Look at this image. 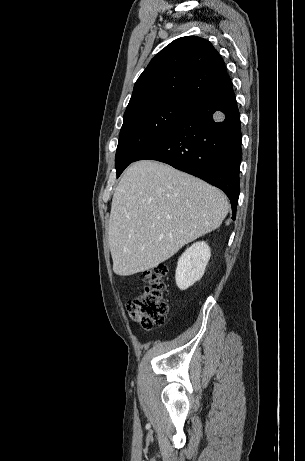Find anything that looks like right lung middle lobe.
<instances>
[{
    "label": "right lung middle lobe",
    "mask_w": 305,
    "mask_h": 461,
    "mask_svg": "<svg viewBox=\"0 0 305 461\" xmlns=\"http://www.w3.org/2000/svg\"><path fill=\"white\" fill-rule=\"evenodd\" d=\"M188 108L186 104L163 102L124 115L115 158L117 176L164 137Z\"/></svg>",
    "instance_id": "right-lung-middle-lobe-1"
}]
</instances>
